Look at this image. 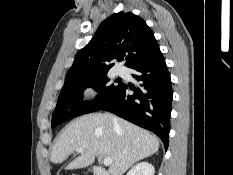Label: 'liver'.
<instances>
[{"mask_svg":"<svg viewBox=\"0 0 233 175\" xmlns=\"http://www.w3.org/2000/svg\"><path fill=\"white\" fill-rule=\"evenodd\" d=\"M84 147L83 152L79 148ZM159 149L158 138L122 118L108 113H92L71 121L56 140L51 162L62 163L74 152L75 160L65 169L85 168L95 157H109L110 175H123L134 163L147 158Z\"/></svg>","mask_w":233,"mask_h":175,"instance_id":"6515ba94","label":"liver"}]
</instances>
